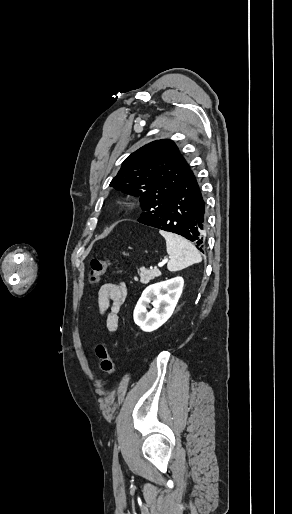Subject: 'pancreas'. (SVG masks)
<instances>
[{
	"label": "pancreas",
	"instance_id": "1",
	"mask_svg": "<svg viewBox=\"0 0 292 514\" xmlns=\"http://www.w3.org/2000/svg\"><path fill=\"white\" fill-rule=\"evenodd\" d=\"M139 274L141 284H148L150 280H154V278H158V276H161L158 270H145V268H140ZM135 280H137V278H135Z\"/></svg>",
	"mask_w": 292,
	"mask_h": 514
}]
</instances>
